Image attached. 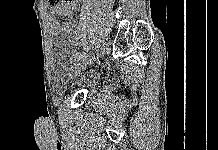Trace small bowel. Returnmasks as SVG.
Returning a JSON list of instances; mask_svg holds the SVG:
<instances>
[{
	"label": "small bowel",
	"instance_id": "small-bowel-1",
	"mask_svg": "<svg viewBox=\"0 0 218 150\" xmlns=\"http://www.w3.org/2000/svg\"><path fill=\"white\" fill-rule=\"evenodd\" d=\"M80 0H60L56 5H49L52 15L51 26L54 34L74 36L75 29L70 21L63 24L58 23L56 16H67L71 19L72 13L77 9Z\"/></svg>",
	"mask_w": 218,
	"mask_h": 150
}]
</instances>
